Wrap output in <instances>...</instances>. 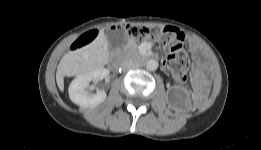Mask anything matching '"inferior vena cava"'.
<instances>
[{"mask_svg":"<svg viewBox=\"0 0 261 150\" xmlns=\"http://www.w3.org/2000/svg\"><path fill=\"white\" fill-rule=\"evenodd\" d=\"M138 67L139 64L133 59H126L121 63V68L125 72Z\"/></svg>","mask_w":261,"mask_h":150,"instance_id":"obj_1","label":"inferior vena cava"}]
</instances>
